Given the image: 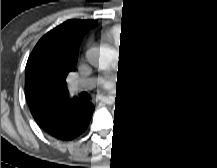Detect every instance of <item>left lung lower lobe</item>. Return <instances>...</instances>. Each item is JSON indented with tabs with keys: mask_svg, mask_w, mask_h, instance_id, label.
Instances as JSON below:
<instances>
[{
	"mask_svg": "<svg viewBox=\"0 0 217 168\" xmlns=\"http://www.w3.org/2000/svg\"><path fill=\"white\" fill-rule=\"evenodd\" d=\"M178 109L149 100L143 113L134 112L122 123V129L130 136L139 139H155L172 125Z\"/></svg>",
	"mask_w": 217,
	"mask_h": 168,
	"instance_id": "left-lung-lower-lobe-1",
	"label": "left lung lower lobe"
}]
</instances>
